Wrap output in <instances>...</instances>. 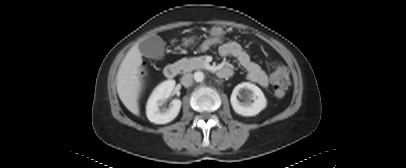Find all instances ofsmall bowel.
Listing matches in <instances>:
<instances>
[{"instance_id":"small-bowel-1","label":"small bowel","mask_w":406,"mask_h":168,"mask_svg":"<svg viewBox=\"0 0 406 168\" xmlns=\"http://www.w3.org/2000/svg\"><path fill=\"white\" fill-rule=\"evenodd\" d=\"M213 45H219V54L222 57L233 56L239 64L245 69L248 80L259 84L266 88L269 85V80L265 71L255 62H253L249 54L236 42H225L219 39H210L204 42L201 46L203 51L209 49Z\"/></svg>"}]
</instances>
